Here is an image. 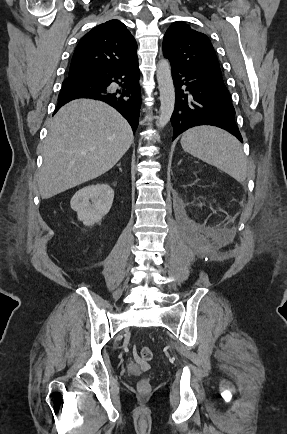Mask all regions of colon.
Listing matches in <instances>:
<instances>
[{"instance_id":"obj_1","label":"colon","mask_w":287,"mask_h":434,"mask_svg":"<svg viewBox=\"0 0 287 434\" xmlns=\"http://www.w3.org/2000/svg\"><path fill=\"white\" fill-rule=\"evenodd\" d=\"M136 357L138 360L149 362L153 358V353L150 348L148 347H142L140 348L137 353ZM138 392L142 395H146L150 392L151 386L150 381L148 378H143L138 382L137 385Z\"/></svg>"}]
</instances>
